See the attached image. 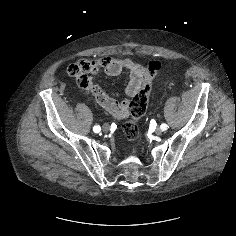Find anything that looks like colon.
Wrapping results in <instances>:
<instances>
[{
	"instance_id": "colon-1",
	"label": "colon",
	"mask_w": 236,
	"mask_h": 236,
	"mask_svg": "<svg viewBox=\"0 0 236 236\" xmlns=\"http://www.w3.org/2000/svg\"><path fill=\"white\" fill-rule=\"evenodd\" d=\"M160 68L161 63L158 60L150 61L147 67L145 68L146 71H148L150 74V82L149 84L143 86L139 93L134 96L131 102V110L129 113L131 115V119L126 121L123 125V132L125 136L130 140H135L140 135L138 121L144 116L146 112L149 103V94L152 88V84Z\"/></svg>"
}]
</instances>
